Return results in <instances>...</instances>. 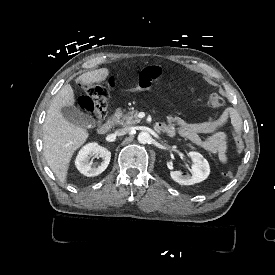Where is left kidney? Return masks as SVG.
Instances as JSON below:
<instances>
[{
    "label": "left kidney",
    "instance_id": "left-kidney-1",
    "mask_svg": "<svg viewBox=\"0 0 275 275\" xmlns=\"http://www.w3.org/2000/svg\"><path fill=\"white\" fill-rule=\"evenodd\" d=\"M189 158L196 163L193 166L192 176H184L181 171H170L171 178L180 185H193L204 181L210 173L208 161L198 152H189Z\"/></svg>",
    "mask_w": 275,
    "mask_h": 275
}]
</instances>
